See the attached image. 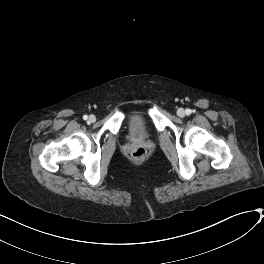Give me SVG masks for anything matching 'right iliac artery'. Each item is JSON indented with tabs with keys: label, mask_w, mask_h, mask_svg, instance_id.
Listing matches in <instances>:
<instances>
[{
	"label": "right iliac artery",
	"mask_w": 264,
	"mask_h": 264,
	"mask_svg": "<svg viewBox=\"0 0 264 264\" xmlns=\"http://www.w3.org/2000/svg\"><path fill=\"white\" fill-rule=\"evenodd\" d=\"M83 119H84V120H87V119H88V116H87V115H84V116H83Z\"/></svg>",
	"instance_id": "1"
}]
</instances>
